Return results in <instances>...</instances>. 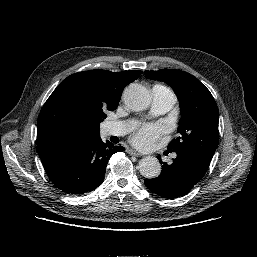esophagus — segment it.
<instances>
[{
  "label": "esophagus",
  "instance_id": "esophagus-1",
  "mask_svg": "<svg viewBox=\"0 0 257 257\" xmlns=\"http://www.w3.org/2000/svg\"><path fill=\"white\" fill-rule=\"evenodd\" d=\"M127 152H128V154L133 155V156H137V157L141 156V153L137 152L136 150H134L132 148H128Z\"/></svg>",
  "mask_w": 257,
  "mask_h": 257
}]
</instances>
